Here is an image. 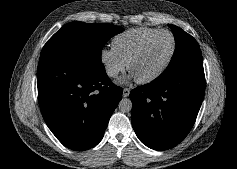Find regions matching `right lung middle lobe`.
<instances>
[{"mask_svg": "<svg viewBox=\"0 0 237 169\" xmlns=\"http://www.w3.org/2000/svg\"><path fill=\"white\" fill-rule=\"evenodd\" d=\"M123 30L107 23H68L48 40L40 58L101 62L105 43Z\"/></svg>", "mask_w": 237, "mask_h": 169, "instance_id": "right-lung-middle-lobe-1", "label": "right lung middle lobe"}]
</instances>
